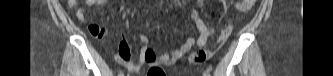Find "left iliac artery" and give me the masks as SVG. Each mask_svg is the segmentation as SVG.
Wrapping results in <instances>:
<instances>
[{
    "label": "left iliac artery",
    "instance_id": "obj_1",
    "mask_svg": "<svg viewBox=\"0 0 333 76\" xmlns=\"http://www.w3.org/2000/svg\"><path fill=\"white\" fill-rule=\"evenodd\" d=\"M203 75L204 76H210L209 72H204Z\"/></svg>",
    "mask_w": 333,
    "mask_h": 76
}]
</instances>
